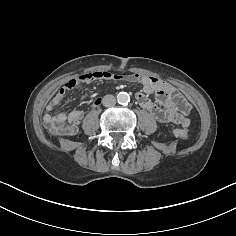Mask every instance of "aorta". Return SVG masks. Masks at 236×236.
Returning <instances> with one entry per match:
<instances>
[{
  "mask_svg": "<svg viewBox=\"0 0 236 236\" xmlns=\"http://www.w3.org/2000/svg\"><path fill=\"white\" fill-rule=\"evenodd\" d=\"M117 101H118L119 104L127 105L128 102H130V96L126 92H120L117 95Z\"/></svg>",
  "mask_w": 236,
  "mask_h": 236,
  "instance_id": "aorta-1",
  "label": "aorta"
}]
</instances>
